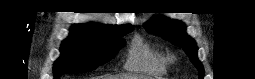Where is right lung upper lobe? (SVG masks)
I'll return each instance as SVG.
<instances>
[{
  "mask_svg": "<svg viewBox=\"0 0 255 79\" xmlns=\"http://www.w3.org/2000/svg\"><path fill=\"white\" fill-rule=\"evenodd\" d=\"M131 25H124L120 27H110L101 24H78L71 28V33L84 34L91 36H100L106 38H116L120 31L124 28L130 27Z\"/></svg>",
  "mask_w": 255,
  "mask_h": 79,
  "instance_id": "obj_1",
  "label": "right lung upper lobe"
}]
</instances>
